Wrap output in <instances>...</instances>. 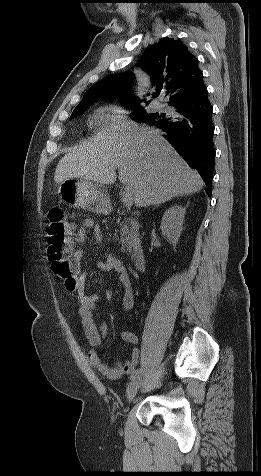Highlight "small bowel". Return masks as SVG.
<instances>
[{
	"mask_svg": "<svg viewBox=\"0 0 261 476\" xmlns=\"http://www.w3.org/2000/svg\"><path fill=\"white\" fill-rule=\"evenodd\" d=\"M90 231L93 232L96 241L98 243H102L101 228L99 224L91 218H86L83 220L81 227L75 234L76 241L82 245L86 244L88 233ZM83 258L84 251L82 249L73 251L71 255V261L78 271V277L75 289L70 291L74 292L77 296L78 313L81 325L86 338L93 347V349H91L88 353V360L92 367L102 375L109 379H118L135 370L140 359V350L136 346L138 339L137 336L130 331L122 332V340L133 345L129 358L123 363L117 362L114 365H108L104 362L98 351L94 349L103 343L107 336L108 329L105 322L100 324L95 322L94 314L96 312L97 305L100 302V296L98 294H87L85 291L86 273L79 271ZM97 267L103 271L114 270L118 272L119 279L124 288L122 306L125 310L131 309L134 303L132 282L129 272L121 259L111 253H108L104 260L97 262Z\"/></svg>",
	"mask_w": 261,
	"mask_h": 476,
	"instance_id": "small-bowel-1",
	"label": "small bowel"
}]
</instances>
